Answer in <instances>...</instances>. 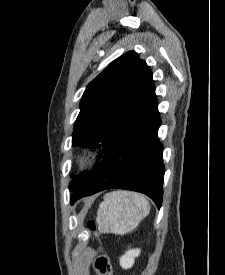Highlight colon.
Masks as SVG:
<instances>
[{"label": "colon", "mask_w": 225, "mask_h": 275, "mask_svg": "<svg viewBox=\"0 0 225 275\" xmlns=\"http://www.w3.org/2000/svg\"><path fill=\"white\" fill-rule=\"evenodd\" d=\"M88 228L95 233L96 235H98L97 232V226L96 223L94 221H89L88 222ZM94 267L98 273V275H112V265L111 262L109 260V258L104 255L101 254L99 255L95 261H94Z\"/></svg>", "instance_id": "5ec220e1"}]
</instances>
